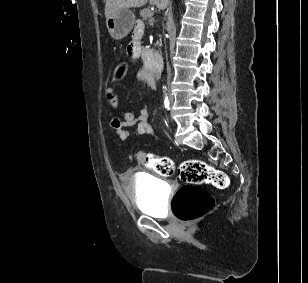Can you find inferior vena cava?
I'll return each instance as SVG.
<instances>
[{"label":"inferior vena cava","mask_w":308,"mask_h":283,"mask_svg":"<svg viewBox=\"0 0 308 283\" xmlns=\"http://www.w3.org/2000/svg\"><path fill=\"white\" fill-rule=\"evenodd\" d=\"M170 77H171V73H170V71H169L168 81L170 80Z\"/></svg>","instance_id":"obj_1"}]
</instances>
